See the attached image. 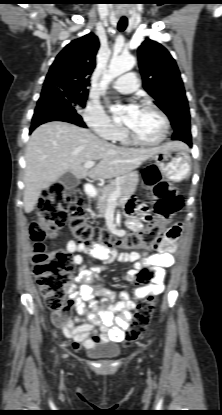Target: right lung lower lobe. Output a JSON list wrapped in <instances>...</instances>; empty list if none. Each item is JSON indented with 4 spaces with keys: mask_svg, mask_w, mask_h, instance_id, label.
Instances as JSON below:
<instances>
[{
    "mask_svg": "<svg viewBox=\"0 0 222 415\" xmlns=\"http://www.w3.org/2000/svg\"><path fill=\"white\" fill-rule=\"evenodd\" d=\"M50 121H64L86 127L72 105L56 92H45L39 99L32 119L30 133L39 125Z\"/></svg>",
    "mask_w": 222,
    "mask_h": 415,
    "instance_id": "98d812e1",
    "label": "right lung lower lobe"
}]
</instances>
